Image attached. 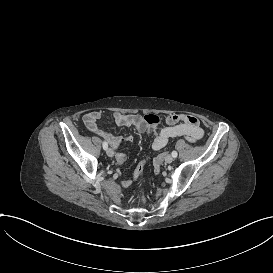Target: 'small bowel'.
Returning <instances> with one entry per match:
<instances>
[{
  "label": "small bowel",
  "instance_id": "1",
  "mask_svg": "<svg viewBox=\"0 0 273 273\" xmlns=\"http://www.w3.org/2000/svg\"><path fill=\"white\" fill-rule=\"evenodd\" d=\"M111 117L116 125L125 127H134L140 133H148L153 136L152 148L155 151L163 149L168 142L176 137H184L189 142H196L204 136V131L200 126L199 120L191 115L185 114H172L166 117V126L157 130L156 127L149 126L145 123L144 117L141 114H125L114 112ZM102 118L100 112H89L84 115L83 122L86 128L93 134L101 138L112 149L118 151L124 144L132 143L134 137L129 135L127 137L113 136L104 131L99 126V120ZM167 153L162 151L154 158L153 174L159 175L162 165V160L167 158ZM116 160L119 164L126 161V155L122 152L116 153ZM123 185L125 188L130 189L133 187L134 182L132 179L127 178L124 180Z\"/></svg>",
  "mask_w": 273,
  "mask_h": 273
}]
</instances>
